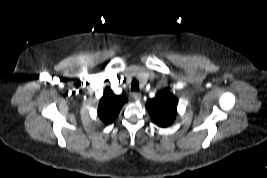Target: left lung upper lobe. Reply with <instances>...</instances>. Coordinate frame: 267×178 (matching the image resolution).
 <instances>
[{"mask_svg":"<svg viewBox=\"0 0 267 178\" xmlns=\"http://www.w3.org/2000/svg\"><path fill=\"white\" fill-rule=\"evenodd\" d=\"M146 108L159 127H168L175 119L177 99L168 89H164L147 101Z\"/></svg>","mask_w":267,"mask_h":178,"instance_id":"5c2ea615","label":"left lung upper lobe"}]
</instances>
